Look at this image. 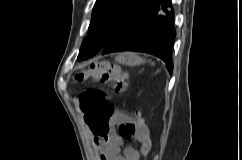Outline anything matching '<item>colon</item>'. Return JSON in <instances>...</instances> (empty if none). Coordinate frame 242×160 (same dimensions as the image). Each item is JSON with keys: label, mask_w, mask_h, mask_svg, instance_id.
I'll use <instances>...</instances> for the list:
<instances>
[{"label": "colon", "mask_w": 242, "mask_h": 160, "mask_svg": "<svg viewBox=\"0 0 242 160\" xmlns=\"http://www.w3.org/2000/svg\"><path fill=\"white\" fill-rule=\"evenodd\" d=\"M89 78L99 83L110 84L115 92L123 90L127 83L126 73L121 71L118 65L106 61L91 63L87 68L81 69L76 76L78 82ZM81 106L85 110L86 123L94 134L104 135L116 112L106 101L104 94L96 90L84 92L81 97ZM122 131L126 139H131L135 129L123 127Z\"/></svg>", "instance_id": "5ec220e1"}]
</instances>
